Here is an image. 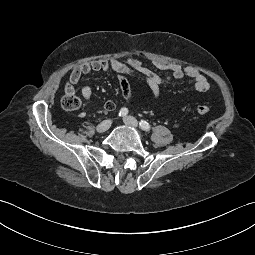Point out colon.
<instances>
[{
	"label": "colon",
	"mask_w": 255,
	"mask_h": 255,
	"mask_svg": "<svg viewBox=\"0 0 255 255\" xmlns=\"http://www.w3.org/2000/svg\"><path fill=\"white\" fill-rule=\"evenodd\" d=\"M61 105L66 111H74L81 107L82 101L75 92H66L61 99ZM195 111L200 115H208L211 112L210 106L206 104H198Z\"/></svg>",
	"instance_id": "colon-1"
}]
</instances>
